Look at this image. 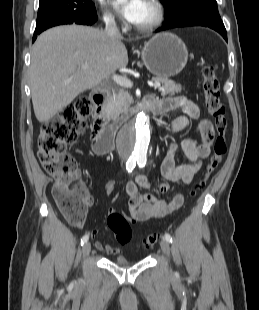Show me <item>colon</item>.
Masks as SVG:
<instances>
[{"mask_svg":"<svg viewBox=\"0 0 259 310\" xmlns=\"http://www.w3.org/2000/svg\"><path fill=\"white\" fill-rule=\"evenodd\" d=\"M202 76L204 105L214 121L216 135L213 142V155L200 180L191 190V196H195L207 183L227 151L225 138L227 119L225 107L220 99L219 79L213 65L206 63ZM91 112V99L88 96L79 97L65 106L58 115L44 122L38 138L39 161L55 180L53 198L65 219L75 225L84 219L91 194L80 179L74 157L66 153V147L85 131ZM107 224L120 244H126L131 240V226L125 216L115 211L110 212ZM159 237L158 233L148 234L144 239V247L152 248Z\"/></svg>","mask_w":259,"mask_h":310,"instance_id":"5ec220e1","label":"colon"}]
</instances>
